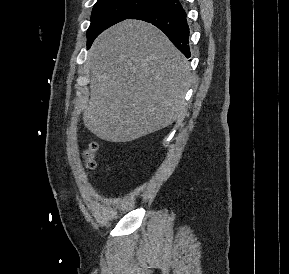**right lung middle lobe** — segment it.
Wrapping results in <instances>:
<instances>
[{
    "label": "right lung middle lobe",
    "instance_id": "dd1d6c3e",
    "mask_svg": "<svg viewBox=\"0 0 289 274\" xmlns=\"http://www.w3.org/2000/svg\"><path fill=\"white\" fill-rule=\"evenodd\" d=\"M163 0H98L94 5L91 24L87 30V47L110 26L130 18Z\"/></svg>",
    "mask_w": 289,
    "mask_h": 274
}]
</instances>
